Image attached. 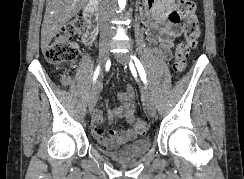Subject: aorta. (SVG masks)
Listing matches in <instances>:
<instances>
[{
    "mask_svg": "<svg viewBox=\"0 0 244 179\" xmlns=\"http://www.w3.org/2000/svg\"><path fill=\"white\" fill-rule=\"evenodd\" d=\"M126 2H127V0H118L119 8H121V10H123V8H125Z\"/></svg>",
    "mask_w": 244,
    "mask_h": 179,
    "instance_id": "aorta-1",
    "label": "aorta"
}]
</instances>
